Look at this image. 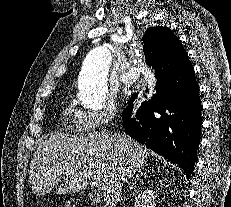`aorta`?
I'll use <instances>...</instances> for the list:
<instances>
[{"instance_id": "obj_1", "label": "aorta", "mask_w": 231, "mask_h": 207, "mask_svg": "<svg viewBox=\"0 0 231 207\" xmlns=\"http://www.w3.org/2000/svg\"><path fill=\"white\" fill-rule=\"evenodd\" d=\"M112 57L106 46H97L86 55L78 78L79 100L88 109H100L108 98L107 76Z\"/></svg>"}]
</instances>
